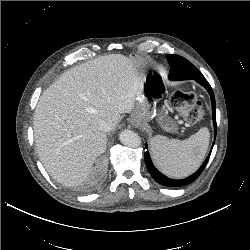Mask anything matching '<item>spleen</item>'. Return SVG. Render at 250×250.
Wrapping results in <instances>:
<instances>
[{
  "instance_id": "spleen-1",
  "label": "spleen",
  "mask_w": 250,
  "mask_h": 250,
  "mask_svg": "<svg viewBox=\"0 0 250 250\" xmlns=\"http://www.w3.org/2000/svg\"><path fill=\"white\" fill-rule=\"evenodd\" d=\"M209 137L206 127L182 141L156 135L150 141L152 159L157 168L167 176L186 177L202 163L209 145Z\"/></svg>"
}]
</instances>
